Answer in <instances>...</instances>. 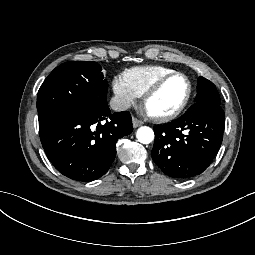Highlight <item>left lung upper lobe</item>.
<instances>
[{"instance_id": "5c2ea615", "label": "left lung upper lobe", "mask_w": 255, "mask_h": 255, "mask_svg": "<svg viewBox=\"0 0 255 255\" xmlns=\"http://www.w3.org/2000/svg\"><path fill=\"white\" fill-rule=\"evenodd\" d=\"M195 101H208L217 105L221 104L220 96L216 86L204 77L198 78L197 96Z\"/></svg>"}]
</instances>
